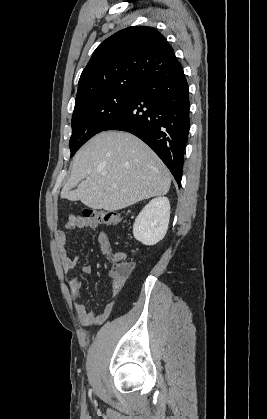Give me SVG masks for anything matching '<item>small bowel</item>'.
<instances>
[{
    "instance_id": "c3829d8e",
    "label": "small bowel",
    "mask_w": 267,
    "mask_h": 419,
    "mask_svg": "<svg viewBox=\"0 0 267 419\" xmlns=\"http://www.w3.org/2000/svg\"><path fill=\"white\" fill-rule=\"evenodd\" d=\"M98 227V223L93 221L90 218L80 215H70L68 216L64 226L62 229L58 230L56 233V242L59 246L60 255H61V262L64 273H69L74 270L78 263L79 257L78 256H71L67 249L66 244L68 241L69 235L77 229H96ZM97 241L101 251L106 255L112 254L111 244L108 235L105 232H100L97 237ZM82 272L84 274H91L92 267L86 265L82 268ZM111 278V288H112V297L114 298L120 290L123 288L127 276H117L110 272L109 274ZM81 282L77 277H74L69 282V287L77 302L75 303V310L78 316L79 321L85 325H92V324H101L105 320L108 319L112 312L113 308V300L107 302L101 312L96 310H90L86 307V305L80 300L79 292H80Z\"/></svg>"
}]
</instances>
